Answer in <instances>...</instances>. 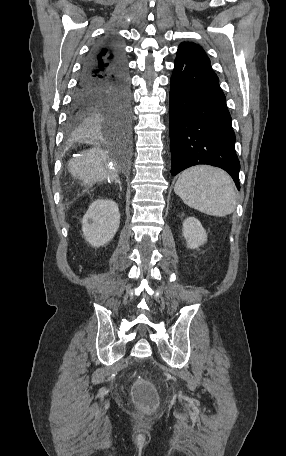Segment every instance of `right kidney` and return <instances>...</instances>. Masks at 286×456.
Returning a JSON list of instances; mask_svg holds the SVG:
<instances>
[{
  "label": "right kidney",
  "instance_id": "obj_1",
  "mask_svg": "<svg viewBox=\"0 0 286 456\" xmlns=\"http://www.w3.org/2000/svg\"><path fill=\"white\" fill-rule=\"evenodd\" d=\"M120 224L118 205L110 199H97L82 219V231L87 242L93 247L109 243Z\"/></svg>",
  "mask_w": 286,
  "mask_h": 456
}]
</instances>
